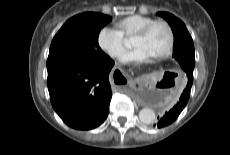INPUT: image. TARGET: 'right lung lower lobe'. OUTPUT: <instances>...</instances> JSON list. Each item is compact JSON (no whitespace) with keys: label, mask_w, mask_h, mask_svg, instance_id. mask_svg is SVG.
<instances>
[{"label":"right lung lower lobe","mask_w":230,"mask_h":155,"mask_svg":"<svg viewBox=\"0 0 230 155\" xmlns=\"http://www.w3.org/2000/svg\"><path fill=\"white\" fill-rule=\"evenodd\" d=\"M113 65L109 58L98 64L47 68L51 104L68 126L89 130L105 121L112 97L108 75Z\"/></svg>","instance_id":"1"}]
</instances>
